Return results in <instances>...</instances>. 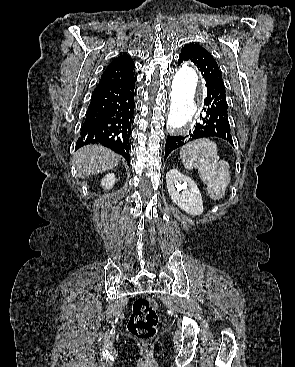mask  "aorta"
Listing matches in <instances>:
<instances>
[{
  "instance_id": "aorta-1",
  "label": "aorta",
  "mask_w": 295,
  "mask_h": 367,
  "mask_svg": "<svg viewBox=\"0 0 295 367\" xmlns=\"http://www.w3.org/2000/svg\"><path fill=\"white\" fill-rule=\"evenodd\" d=\"M199 76L188 63L181 65L172 81L171 104L167 126L180 131L186 128L197 110Z\"/></svg>"
}]
</instances>
